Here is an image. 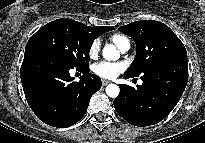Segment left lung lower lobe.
<instances>
[{
	"label": "left lung lower lobe",
	"instance_id": "1",
	"mask_svg": "<svg viewBox=\"0 0 205 143\" xmlns=\"http://www.w3.org/2000/svg\"><path fill=\"white\" fill-rule=\"evenodd\" d=\"M141 80L143 84L137 89L119 85L120 93L113 102L119 116L139 127L159 123L174 109L188 81L187 58L156 63L141 75Z\"/></svg>",
	"mask_w": 205,
	"mask_h": 143
}]
</instances>
